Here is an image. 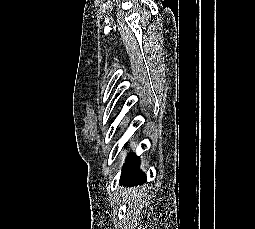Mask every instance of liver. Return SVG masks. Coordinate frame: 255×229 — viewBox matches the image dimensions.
Wrapping results in <instances>:
<instances>
[{
  "label": "liver",
  "instance_id": "obj_1",
  "mask_svg": "<svg viewBox=\"0 0 255 229\" xmlns=\"http://www.w3.org/2000/svg\"><path fill=\"white\" fill-rule=\"evenodd\" d=\"M141 190H137L136 188H132L130 190H128V192H125V199L128 200L129 203H133V202H136L137 198H140L141 197Z\"/></svg>",
  "mask_w": 255,
  "mask_h": 229
}]
</instances>
